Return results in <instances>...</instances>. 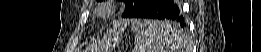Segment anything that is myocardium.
<instances>
[{
	"instance_id": "1",
	"label": "myocardium",
	"mask_w": 261,
	"mask_h": 52,
	"mask_svg": "<svg viewBox=\"0 0 261 52\" xmlns=\"http://www.w3.org/2000/svg\"><path fill=\"white\" fill-rule=\"evenodd\" d=\"M116 1H104L96 10V15L100 18H108L116 12Z\"/></svg>"
}]
</instances>
